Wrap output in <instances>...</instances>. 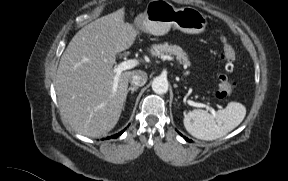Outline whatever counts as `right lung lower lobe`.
<instances>
[{
    "label": "right lung lower lobe",
    "mask_w": 288,
    "mask_h": 181,
    "mask_svg": "<svg viewBox=\"0 0 288 181\" xmlns=\"http://www.w3.org/2000/svg\"><path fill=\"white\" fill-rule=\"evenodd\" d=\"M124 131V130H123ZM123 131H121V132H119V133H117V134H115V135H112L111 137H108L107 139H109V138H117V137H119L122 133H123Z\"/></svg>",
    "instance_id": "right-lung-lower-lobe-1"
}]
</instances>
